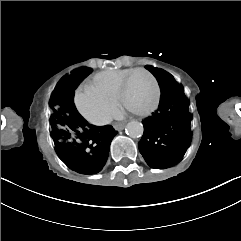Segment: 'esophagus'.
<instances>
[{
	"label": "esophagus",
	"mask_w": 241,
	"mask_h": 241,
	"mask_svg": "<svg viewBox=\"0 0 241 241\" xmlns=\"http://www.w3.org/2000/svg\"><path fill=\"white\" fill-rule=\"evenodd\" d=\"M114 128H115V130H118V131L123 130L125 128V124L117 123L114 125Z\"/></svg>",
	"instance_id": "esophagus-1"
}]
</instances>
